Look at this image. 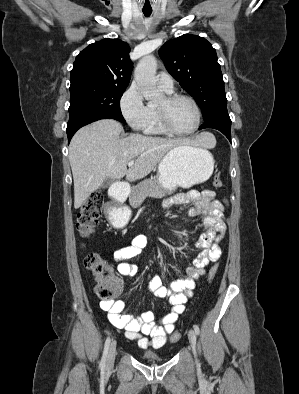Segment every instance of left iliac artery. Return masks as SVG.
Masks as SVG:
<instances>
[{
	"label": "left iliac artery",
	"instance_id": "obj_1",
	"mask_svg": "<svg viewBox=\"0 0 299 394\" xmlns=\"http://www.w3.org/2000/svg\"><path fill=\"white\" fill-rule=\"evenodd\" d=\"M193 327H194V330H195L196 334H199L200 333V329H199L198 325H194Z\"/></svg>",
	"mask_w": 299,
	"mask_h": 394
}]
</instances>
